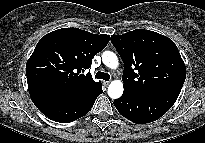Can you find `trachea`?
I'll use <instances>...</instances> for the list:
<instances>
[{"label":"trachea","mask_w":205,"mask_h":143,"mask_svg":"<svg viewBox=\"0 0 205 143\" xmlns=\"http://www.w3.org/2000/svg\"><path fill=\"white\" fill-rule=\"evenodd\" d=\"M95 78L108 81L110 79V75L108 73H104V72L99 71L96 73Z\"/></svg>","instance_id":"trachea-1"}]
</instances>
